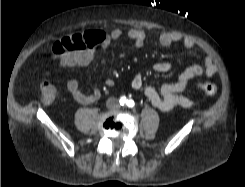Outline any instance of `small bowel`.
I'll return each mask as SVG.
<instances>
[{
    "mask_svg": "<svg viewBox=\"0 0 245 187\" xmlns=\"http://www.w3.org/2000/svg\"><path fill=\"white\" fill-rule=\"evenodd\" d=\"M87 41L90 47L83 51L68 53L59 59L61 67L71 66H86L91 63L94 58L95 45H99L103 53L107 52L113 41L123 37L128 38L133 42V49H138L143 46L147 39L145 31L140 29H129L124 31L120 28L113 29L110 32H104L100 29H90L86 32ZM160 45L168 47L173 43L181 42L185 48L194 49L195 42L193 39L174 32H161L158 35ZM129 51L120 53V57H124ZM172 65L169 62H159L153 66L156 73H168L171 71ZM217 67L210 56L204 58L203 66L195 64L179 74L176 81L172 84H166L157 90L153 86H145L142 75L135 74L131 79V86L136 90H143L144 95L150 103L157 109L163 112H170L178 107H190L193 101L182 95L191 82L198 76L205 75L212 77L216 74ZM107 85L111 86L112 81L108 80ZM68 93L72 98L80 104H91L100 98V91L96 88L90 92H84L80 89V79L75 78L68 81L66 85Z\"/></svg>",
    "mask_w": 245,
    "mask_h": 187,
    "instance_id": "c3829d8e",
    "label": "small bowel"
}]
</instances>
